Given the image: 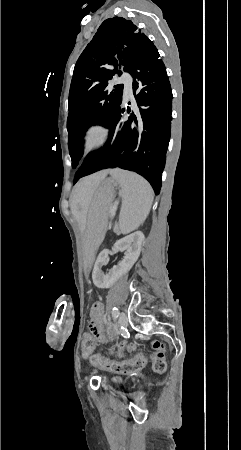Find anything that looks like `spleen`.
<instances>
[{
  "instance_id": "obj_1",
  "label": "spleen",
  "mask_w": 241,
  "mask_h": 450,
  "mask_svg": "<svg viewBox=\"0 0 241 450\" xmlns=\"http://www.w3.org/2000/svg\"><path fill=\"white\" fill-rule=\"evenodd\" d=\"M110 174L122 192V208L119 216L121 234L137 230L145 222L153 204L154 192L142 176L127 170H110Z\"/></svg>"
}]
</instances>
